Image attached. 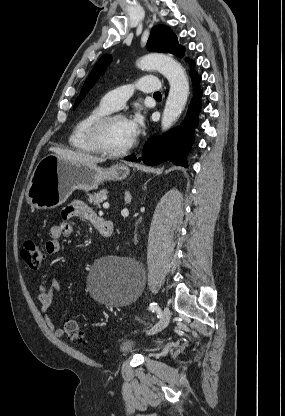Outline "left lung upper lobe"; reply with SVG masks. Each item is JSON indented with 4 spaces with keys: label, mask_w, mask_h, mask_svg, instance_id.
Here are the masks:
<instances>
[{
    "label": "left lung upper lobe",
    "mask_w": 285,
    "mask_h": 416,
    "mask_svg": "<svg viewBox=\"0 0 285 416\" xmlns=\"http://www.w3.org/2000/svg\"><path fill=\"white\" fill-rule=\"evenodd\" d=\"M146 47L149 51L171 53L180 58L184 53V47L178 44L176 35L165 25H157L152 28ZM110 61L111 57L109 55H103L98 60L82 87L80 95L75 102L74 109L93 87Z\"/></svg>",
    "instance_id": "5c2ea615"
}]
</instances>
